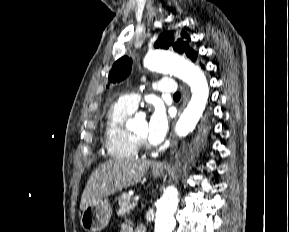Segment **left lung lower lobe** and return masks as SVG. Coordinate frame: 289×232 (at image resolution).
I'll list each match as a JSON object with an SVG mask.
<instances>
[{"mask_svg": "<svg viewBox=\"0 0 289 232\" xmlns=\"http://www.w3.org/2000/svg\"><path fill=\"white\" fill-rule=\"evenodd\" d=\"M201 67L203 68V69H205V67L201 64Z\"/></svg>", "mask_w": 289, "mask_h": 232, "instance_id": "obj_1", "label": "left lung lower lobe"}]
</instances>
